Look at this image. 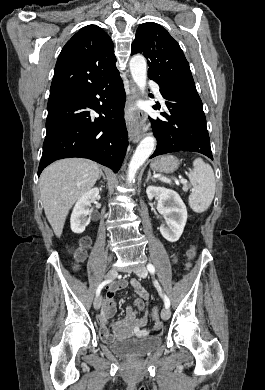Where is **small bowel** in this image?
Listing matches in <instances>:
<instances>
[{"mask_svg": "<svg viewBox=\"0 0 265 390\" xmlns=\"http://www.w3.org/2000/svg\"><path fill=\"white\" fill-rule=\"evenodd\" d=\"M128 285L134 288L139 298L126 308L125 315L120 323L131 326L134 332L139 335H145L148 332L146 326L149 320L147 310L149 295L136 279L122 280L108 288L102 312L99 316L100 333L105 341H109L113 337L108 329V320L115 313V293Z\"/></svg>", "mask_w": 265, "mask_h": 390, "instance_id": "obj_1", "label": "small bowel"}]
</instances>
